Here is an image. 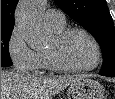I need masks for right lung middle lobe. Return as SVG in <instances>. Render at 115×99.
<instances>
[{
  "label": "right lung middle lobe",
  "mask_w": 115,
  "mask_h": 99,
  "mask_svg": "<svg viewBox=\"0 0 115 99\" xmlns=\"http://www.w3.org/2000/svg\"><path fill=\"white\" fill-rule=\"evenodd\" d=\"M12 31L13 28H1V67L13 64L9 55V41Z\"/></svg>",
  "instance_id": "right-lung-middle-lobe-1"
}]
</instances>
